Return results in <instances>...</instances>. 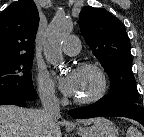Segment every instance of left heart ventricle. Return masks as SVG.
I'll return each instance as SVG.
<instances>
[{"mask_svg":"<svg viewBox=\"0 0 144 137\" xmlns=\"http://www.w3.org/2000/svg\"><path fill=\"white\" fill-rule=\"evenodd\" d=\"M78 88L76 98H86L93 95L99 86V81L95 73L89 70H77Z\"/></svg>","mask_w":144,"mask_h":137,"instance_id":"obj_1","label":"left heart ventricle"}]
</instances>
